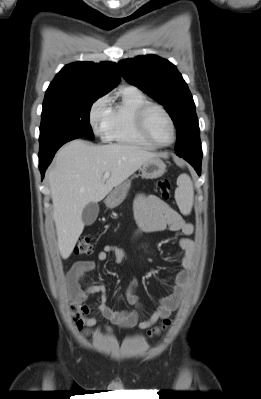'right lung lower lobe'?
<instances>
[{
    "label": "right lung lower lobe",
    "instance_id": "98d812e1",
    "mask_svg": "<svg viewBox=\"0 0 261 399\" xmlns=\"http://www.w3.org/2000/svg\"><path fill=\"white\" fill-rule=\"evenodd\" d=\"M80 137L83 136L72 132H66L53 137L43 144H40L39 169L41 171L42 177H44L45 170L52 161L56 151L66 142Z\"/></svg>",
    "mask_w": 261,
    "mask_h": 399
}]
</instances>
